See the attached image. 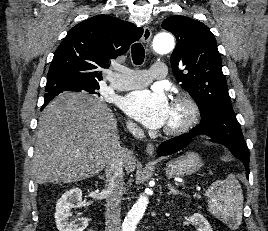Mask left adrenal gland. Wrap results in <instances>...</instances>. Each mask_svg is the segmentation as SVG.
Wrapping results in <instances>:
<instances>
[{
	"label": "left adrenal gland",
	"instance_id": "obj_1",
	"mask_svg": "<svg viewBox=\"0 0 268 231\" xmlns=\"http://www.w3.org/2000/svg\"><path fill=\"white\" fill-rule=\"evenodd\" d=\"M167 186H168V189H169L168 195L179 194V191L174 186H172V184L168 183Z\"/></svg>",
	"mask_w": 268,
	"mask_h": 231
}]
</instances>
